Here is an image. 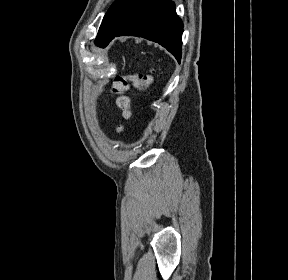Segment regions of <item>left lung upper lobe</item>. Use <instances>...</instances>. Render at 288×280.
Returning a JSON list of instances; mask_svg holds the SVG:
<instances>
[{
    "mask_svg": "<svg viewBox=\"0 0 288 280\" xmlns=\"http://www.w3.org/2000/svg\"><path fill=\"white\" fill-rule=\"evenodd\" d=\"M145 0H116L105 14L95 39L99 47L106 44L127 17Z\"/></svg>",
    "mask_w": 288,
    "mask_h": 280,
    "instance_id": "5c2ea615",
    "label": "left lung upper lobe"
}]
</instances>
